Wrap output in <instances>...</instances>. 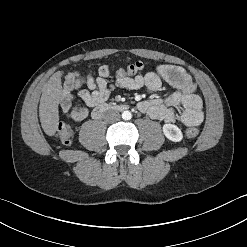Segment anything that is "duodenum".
Masks as SVG:
<instances>
[{
  "mask_svg": "<svg viewBox=\"0 0 247 247\" xmlns=\"http://www.w3.org/2000/svg\"><path fill=\"white\" fill-rule=\"evenodd\" d=\"M127 107L125 105H121V106H112L109 104H101L99 106H97L93 113H92V117L94 119H99L103 116V114H105L106 112L110 111V110H114V109H118V110H124Z\"/></svg>",
  "mask_w": 247,
  "mask_h": 247,
  "instance_id": "obj_1",
  "label": "duodenum"
}]
</instances>
